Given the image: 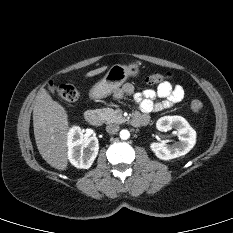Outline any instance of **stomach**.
I'll return each instance as SVG.
<instances>
[{"label": "stomach", "mask_w": 233, "mask_h": 233, "mask_svg": "<svg viewBox=\"0 0 233 233\" xmlns=\"http://www.w3.org/2000/svg\"><path fill=\"white\" fill-rule=\"evenodd\" d=\"M140 72L138 64L129 65L115 64L90 91L92 98H104L109 96L114 90L119 88L129 77L137 76Z\"/></svg>", "instance_id": "1"}]
</instances>
